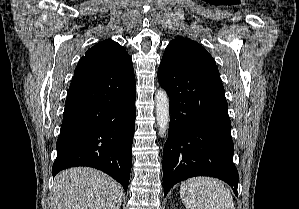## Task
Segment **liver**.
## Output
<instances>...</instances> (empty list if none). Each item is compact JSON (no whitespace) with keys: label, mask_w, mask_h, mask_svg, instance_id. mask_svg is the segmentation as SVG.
<instances>
[{"label":"liver","mask_w":299,"mask_h":209,"mask_svg":"<svg viewBox=\"0 0 299 209\" xmlns=\"http://www.w3.org/2000/svg\"><path fill=\"white\" fill-rule=\"evenodd\" d=\"M122 186L107 174L88 167L71 168L55 177L53 209H120Z\"/></svg>","instance_id":"1"}]
</instances>
